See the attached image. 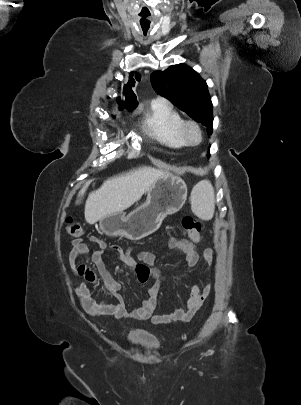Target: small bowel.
I'll use <instances>...</instances> for the list:
<instances>
[{"instance_id":"obj_1","label":"small bowel","mask_w":301,"mask_h":405,"mask_svg":"<svg viewBox=\"0 0 301 405\" xmlns=\"http://www.w3.org/2000/svg\"><path fill=\"white\" fill-rule=\"evenodd\" d=\"M88 239L97 245V249L91 253V258L97 268L98 275L86 265L77 262L79 257L90 253L88 245L79 237L73 239L71 242L72 249L69 253L70 268L72 273L83 276L87 281L93 284H100V289L103 292L109 293L114 298V302L104 308L103 311L105 314L113 315L117 319L126 317L142 320L151 319L155 324H172L179 321L186 322L202 307L211 292L210 284L202 288L194 286L189 293L186 307H177L175 311L169 315L153 316L161 293L160 274L156 269L152 268L155 264V255L149 251H140L137 253L136 260L132 256V251L128 250L127 252H120L117 259L135 270L140 283L144 284L150 278L154 279L153 285L148 290V298L143 301L140 307L129 311L120 294L121 285L109 272L104 258L106 249H118V247L109 245L94 235H90ZM185 239H189V237H182L172 230L168 234V248L181 253L185 258L186 264L189 267H194L199 259L197 246H194L193 243ZM203 257L208 263H211L213 259L212 249H205L203 251ZM92 293L93 291L85 285H81L77 288V294L82 299L83 303L87 298L92 296Z\"/></svg>"}]
</instances>
